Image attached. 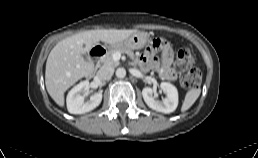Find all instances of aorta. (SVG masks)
I'll return each mask as SVG.
<instances>
[{"instance_id":"aorta-1","label":"aorta","mask_w":258,"mask_h":158,"mask_svg":"<svg viewBox=\"0 0 258 158\" xmlns=\"http://www.w3.org/2000/svg\"><path fill=\"white\" fill-rule=\"evenodd\" d=\"M116 76L118 78H124L126 76V70L123 67H120L116 70Z\"/></svg>"}]
</instances>
